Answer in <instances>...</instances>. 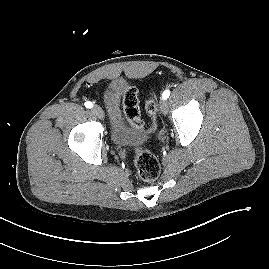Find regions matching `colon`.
Listing matches in <instances>:
<instances>
[{
    "label": "colon",
    "instance_id": "1",
    "mask_svg": "<svg viewBox=\"0 0 269 269\" xmlns=\"http://www.w3.org/2000/svg\"><path fill=\"white\" fill-rule=\"evenodd\" d=\"M123 110L128 121L137 129L146 133H152L156 129L157 106L152 98L145 103V110L151 119L148 127L141 119L138 91L135 87H129L123 97ZM134 166L144 181H153L160 174V163L155 155L147 150H138L134 155Z\"/></svg>",
    "mask_w": 269,
    "mask_h": 269
}]
</instances>
